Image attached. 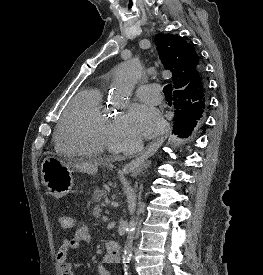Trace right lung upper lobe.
Here are the masks:
<instances>
[{
  "instance_id": "right-lung-upper-lobe-1",
  "label": "right lung upper lobe",
  "mask_w": 263,
  "mask_h": 275,
  "mask_svg": "<svg viewBox=\"0 0 263 275\" xmlns=\"http://www.w3.org/2000/svg\"><path fill=\"white\" fill-rule=\"evenodd\" d=\"M155 43L164 67L173 74L174 92L185 94L184 107L194 114H204L208 107L205 79L197 75L201 67L194 47L178 35L159 33Z\"/></svg>"
}]
</instances>
